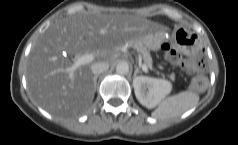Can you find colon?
<instances>
[{
	"instance_id": "colon-1",
	"label": "colon",
	"mask_w": 238,
	"mask_h": 145,
	"mask_svg": "<svg viewBox=\"0 0 238 145\" xmlns=\"http://www.w3.org/2000/svg\"><path fill=\"white\" fill-rule=\"evenodd\" d=\"M166 50V56L169 62L175 66L181 67L186 72L194 74L195 77L192 80V88L195 91H202L205 89L207 81L204 76L201 75L206 69V58L202 53L196 54L189 58H183L181 54L170 49L168 45H164Z\"/></svg>"
}]
</instances>
